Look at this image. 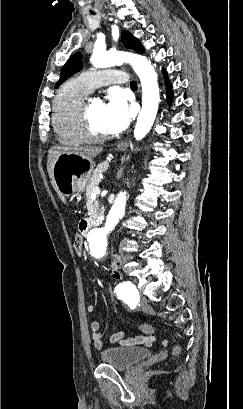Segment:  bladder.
I'll return each mask as SVG.
<instances>
[{
    "instance_id": "obj_1",
    "label": "bladder",
    "mask_w": 243,
    "mask_h": 409,
    "mask_svg": "<svg viewBox=\"0 0 243 409\" xmlns=\"http://www.w3.org/2000/svg\"><path fill=\"white\" fill-rule=\"evenodd\" d=\"M151 350L143 347L114 346L101 351L100 359L103 363L118 370H127L148 358Z\"/></svg>"
}]
</instances>
